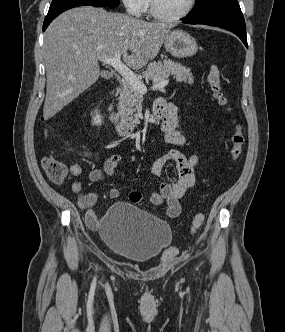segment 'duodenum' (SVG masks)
Listing matches in <instances>:
<instances>
[{
	"label": "duodenum",
	"mask_w": 285,
	"mask_h": 332,
	"mask_svg": "<svg viewBox=\"0 0 285 332\" xmlns=\"http://www.w3.org/2000/svg\"><path fill=\"white\" fill-rule=\"evenodd\" d=\"M114 91H110L109 95L113 96ZM168 104L164 99H158L154 105V120L156 123L162 122L168 110ZM107 114L110 123L115 128L120 136H129L134 131V126L120 120L118 114L115 112L112 104L107 105Z\"/></svg>",
	"instance_id": "410a0bca"
}]
</instances>
